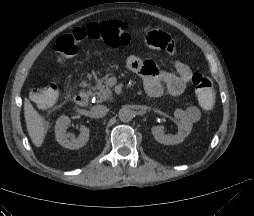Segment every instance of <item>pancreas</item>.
I'll list each match as a JSON object with an SVG mask.
<instances>
[{
  "instance_id": "obj_1",
  "label": "pancreas",
  "mask_w": 254,
  "mask_h": 216,
  "mask_svg": "<svg viewBox=\"0 0 254 216\" xmlns=\"http://www.w3.org/2000/svg\"><path fill=\"white\" fill-rule=\"evenodd\" d=\"M91 90L93 91V96L97 98V102H103L108 99H110L112 92L109 88L108 84V77H104L97 81V84L95 86L91 87Z\"/></svg>"
}]
</instances>
